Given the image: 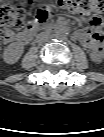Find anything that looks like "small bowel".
Listing matches in <instances>:
<instances>
[{
	"label": "small bowel",
	"mask_w": 104,
	"mask_h": 137,
	"mask_svg": "<svg viewBox=\"0 0 104 137\" xmlns=\"http://www.w3.org/2000/svg\"><path fill=\"white\" fill-rule=\"evenodd\" d=\"M61 22H64L63 19H61ZM35 24L31 25L29 28H27L26 30H24L21 34L19 35H15V34H7L5 37V42H13V41H17L20 42L22 44H26L28 43V41L30 40L29 36H28V31L34 26ZM75 38L81 42L82 45H84L86 48L91 49L93 51H96L94 49L95 46H100L101 44L100 42L96 41L93 37L92 34L85 30V29H80L75 33ZM98 52V51H96Z\"/></svg>",
	"instance_id": "obj_1"
}]
</instances>
